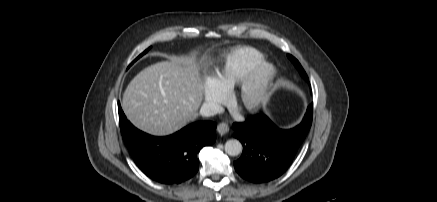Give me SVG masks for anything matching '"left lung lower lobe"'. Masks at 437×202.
<instances>
[{
    "instance_id": "obj_1",
    "label": "left lung lower lobe",
    "mask_w": 437,
    "mask_h": 202,
    "mask_svg": "<svg viewBox=\"0 0 437 202\" xmlns=\"http://www.w3.org/2000/svg\"><path fill=\"white\" fill-rule=\"evenodd\" d=\"M313 104L302 122L294 128H278L266 115L258 114L245 122L234 123V137L243 145L241 157L234 162L236 172L253 183L271 181L290 166L312 123Z\"/></svg>"
}]
</instances>
